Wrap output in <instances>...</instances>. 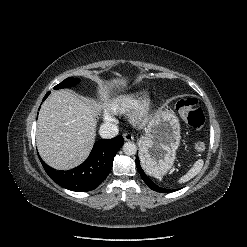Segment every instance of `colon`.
Here are the masks:
<instances>
[{
  "label": "colon",
  "instance_id": "5ec220e1",
  "mask_svg": "<svg viewBox=\"0 0 247 247\" xmlns=\"http://www.w3.org/2000/svg\"><path fill=\"white\" fill-rule=\"evenodd\" d=\"M176 108L183 117L184 121L193 128H200L205 122V116L201 108L197 106V100L194 98H185L177 102ZM206 144L198 140L194 144L197 152H203Z\"/></svg>",
  "mask_w": 247,
  "mask_h": 247
}]
</instances>
